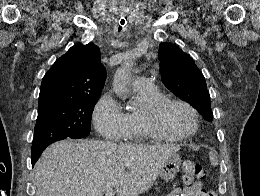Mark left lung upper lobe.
<instances>
[{"label": "left lung upper lobe", "instance_id": "obj_1", "mask_svg": "<svg viewBox=\"0 0 260 196\" xmlns=\"http://www.w3.org/2000/svg\"><path fill=\"white\" fill-rule=\"evenodd\" d=\"M158 53L163 84L211 122L210 95L205 78L193 59L178 46L166 42L160 44Z\"/></svg>", "mask_w": 260, "mask_h": 196}]
</instances>
